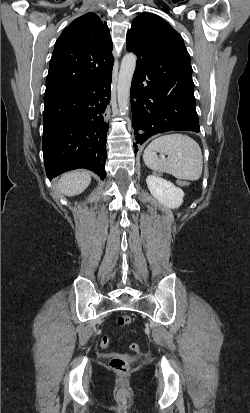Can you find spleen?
I'll use <instances>...</instances> for the list:
<instances>
[{"mask_svg":"<svg viewBox=\"0 0 250 413\" xmlns=\"http://www.w3.org/2000/svg\"><path fill=\"white\" fill-rule=\"evenodd\" d=\"M157 152L162 156L158 157ZM163 155H167L164 158ZM146 166L159 173H168L180 180L196 181L203 170L199 144L183 134H168L153 140L143 153Z\"/></svg>","mask_w":250,"mask_h":413,"instance_id":"1","label":"spleen"}]
</instances>
